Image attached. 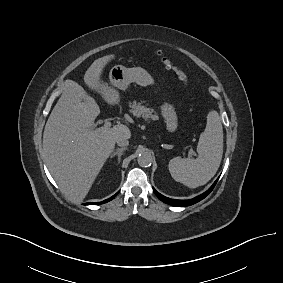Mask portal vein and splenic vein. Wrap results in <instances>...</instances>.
I'll return each mask as SVG.
<instances>
[{"label":"portal vein and splenic vein","mask_w":283,"mask_h":283,"mask_svg":"<svg viewBox=\"0 0 283 283\" xmlns=\"http://www.w3.org/2000/svg\"><path fill=\"white\" fill-rule=\"evenodd\" d=\"M97 124H100V121L97 122ZM111 126H112V123L108 119H106L104 121V125L102 127H100V128H102V129H109ZM189 155H194V151L192 149L189 151Z\"/></svg>","instance_id":"1"}]
</instances>
